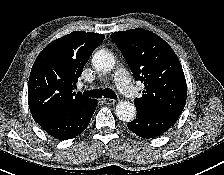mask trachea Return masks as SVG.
Returning a JSON list of instances; mask_svg holds the SVG:
<instances>
[{
	"label": "trachea",
	"instance_id": "trachea-1",
	"mask_svg": "<svg viewBox=\"0 0 224 175\" xmlns=\"http://www.w3.org/2000/svg\"><path fill=\"white\" fill-rule=\"evenodd\" d=\"M83 95L92 98H101L104 96L105 98L117 99V95L109 89L85 91Z\"/></svg>",
	"mask_w": 224,
	"mask_h": 175
}]
</instances>
